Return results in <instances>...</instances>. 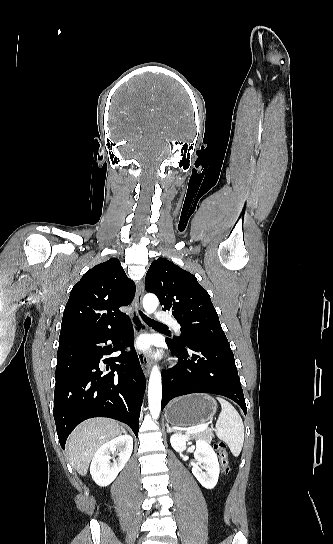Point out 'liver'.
<instances>
[{
    "instance_id": "obj_1",
    "label": "liver",
    "mask_w": 333,
    "mask_h": 544,
    "mask_svg": "<svg viewBox=\"0 0 333 544\" xmlns=\"http://www.w3.org/2000/svg\"><path fill=\"white\" fill-rule=\"evenodd\" d=\"M121 433L117 422L105 419H90L81 423L67 442L69 460L74 469L84 476L96 451Z\"/></svg>"
}]
</instances>
